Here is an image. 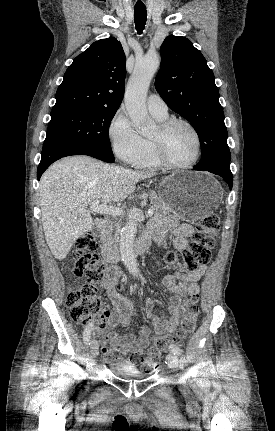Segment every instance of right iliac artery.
I'll return each instance as SVG.
<instances>
[{"instance_id": "right-iliac-artery-1", "label": "right iliac artery", "mask_w": 275, "mask_h": 431, "mask_svg": "<svg viewBox=\"0 0 275 431\" xmlns=\"http://www.w3.org/2000/svg\"><path fill=\"white\" fill-rule=\"evenodd\" d=\"M93 324H89L85 327L83 332V341L86 345L90 344L91 334H92Z\"/></svg>"}]
</instances>
